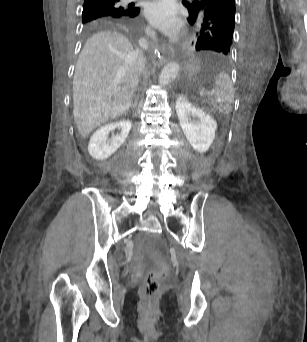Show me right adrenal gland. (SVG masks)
I'll use <instances>...</instances> for the list:
<instances>
[{
	"mask_svg": "<svg viewBox=\"0 0 307 342\" xmlns=\"http://www.w3.org/2000/svg\"><path fill=\"white\" fill-rule=\"evenodd\" d=\"M136 104H137V102H132V104H131L132 108H136Z\"/></svg>",
	"mask_w": 307,
	"mask_h": 342,
	"instance_id": "obj_1",
	"label": "right adrenal gland"
}]
</instances>
